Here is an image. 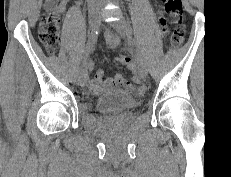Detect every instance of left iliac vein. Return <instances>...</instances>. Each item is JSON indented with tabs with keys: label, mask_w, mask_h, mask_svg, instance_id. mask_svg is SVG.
<instances>
[{
	"label": "left iliac vein",
	"mask_w": 231,
	"mask_h": 177,
	"mask_svg": "<svg viewBox=\"0 0 231 177\" xmlns=\"http://www.w3.org/2000/svg\"><path fill=\"white\" fill-rule=\"evenodd\" d=\"M110 24L128 43L132 42L129 29H128V25L124 19L114 21ZM138 60H139V67H138L139 75L141 76V78H146L147 69H146L145 63L143 62L140 56L138 57Z\"/></svg>",
	"instance_id": "1"
}]
</instances>
